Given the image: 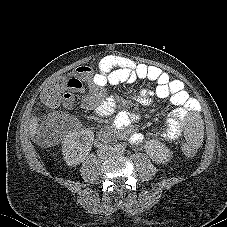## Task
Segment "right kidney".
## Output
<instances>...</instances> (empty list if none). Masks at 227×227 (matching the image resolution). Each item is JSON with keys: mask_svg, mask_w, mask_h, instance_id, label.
I'll list each match as a JSON object with an SVG mask.
<instances>
[{"mask_svg": "<svg viewBox=\"0 0 227 227\" xmlns=\"http://www.w3.org/2000/svg\"><path fill=\"white\" fill-rule=\"evenodd\" d=\"M94 133L88 129H80L66 136L62 145L63 159L68 166H76L83 162L92 148Z\"/></svg>", "mask_w": 227, "mask_h": 227, "instance_id": "1", "label": "right kidney"}]
</instances>
